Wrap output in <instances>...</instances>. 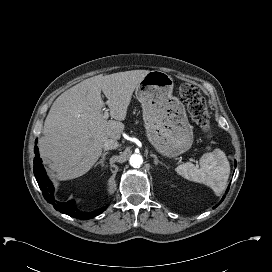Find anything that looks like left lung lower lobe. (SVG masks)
Here are the masks:
<instances>
[{"mask_svg":"<svg viewBox=\"0 0 272 272\" xmlns=\"http://www.w3.org/2000/svg\"><path fill=\"white\" fill-rule=\"evenodd\" d=\"M235 164H236V162H235ZM228 189H229V187H228ZM228 189H227V191H228ZM227 191H226V193H227ZM224 198H225V196L222 198L221 202L223 201Z\"/></svg>","mask_w":272,"mask_h":272,"instance_id":"1","label":"left lung lower lobe"}]
</instances>
